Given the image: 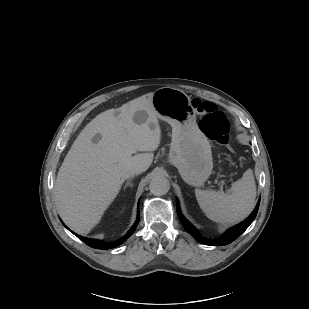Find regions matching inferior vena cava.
Instances as JSON below:
<instances>
[{"label":"inferior vena cava","mask_w":309,"mask_h":309,"mask_svg":"<svg viewBox=\"0 0 309 309\" xmlns=\"http://www.w3.org/2000/svg\"><path fill=\"white\" fill-rule=\"evenodd\" d=\"M143 172V168L142 167H133V168H130L129 170H127L124 174H123V178L126 179V178H129L133 175H138L140 173Z\"/></svg>","instance_id":"602c4592"}]
</instances>
